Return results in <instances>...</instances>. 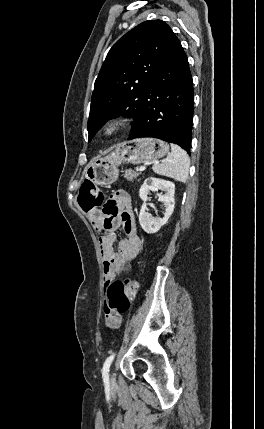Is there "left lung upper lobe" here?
Wrapping results in <instances>:
<instances>
[{"label":"left lung upper lobe","instance_id":"1","mask_svg":"<svg viewBox=\"0 0 264 429\" xmlns=\"http://www.w3.org/2000/svg\"><path fill=\"white\" fill-rule=\"evenodd\" d=\"M172 34L162 20H148L134 27L110 49L95 81L87 129L89 139L114 117L141 116L152 82Z\"/></svg>","mask_w":264,"mask_h":429}]
</instances>
